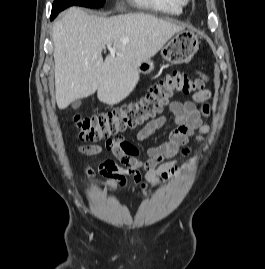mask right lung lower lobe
<instances>
[{"label": "right lung lower lobe", "mask_w": 265, "mask_h": 269, "mask_svg": "<svg viewBox=\"0 0 265 269\" xmlns=\"http://www.w3.org/2000/svg\"><path fill=\"white\" fill-rule=\"evenodd\" d=\"M57 14H58V13H56V12H52V13H51V20L54 19V18L57 16Z\"/></svg>", "instance_id": "98d812e1"}]
</instances>
